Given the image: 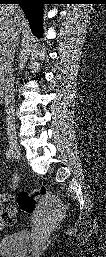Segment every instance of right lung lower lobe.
<instances>
[{
    "instance_id": "98d812e1",
    "label": "right lung lower lobe",
    "mask_w": 106,
    "mask_h": 257,
    "mask_svg": "<svg viewBox=\"0 0 106 257\" xmlns=\"http://www.w3.org/2000/svg\"><path fill=\"white\" fill-rule=\"evenodd\" d=\"M2 4H19L36 36L41 34V11L43 0H0Z\"/></svg>"
}]
</instances>
